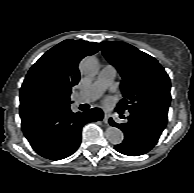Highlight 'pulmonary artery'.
I'll list each match as a JSON object with an SVG mask.
<instances>
[{"mask_svg":"<svg viewBox=\"0 0 194 193\" xmlns=\"http://www.w3.org/2000/svg\"><path fill=\"white\" fill-rule=\"evenodd\" d=\"M116 76V69L112 65H105L97 79L88 87L81 90L77 95L79 103H89L98 99L103 92L111 85Z\"/></svg>","mask_w":194,"mask_h":193,"instance_id":"pulmonary-artery-1","label":"pulmonary artery"}]
</instances>
